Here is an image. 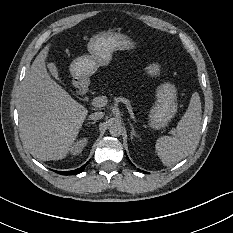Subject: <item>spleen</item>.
I'll return each mask as SVG.
<instances>
[{
	"label": "spleen",
	"mask_w": 233,
	"mask_h": 233,
	"mask_svg": "<svg viewBox=\"0 0 233 233\" xmlns=\"http://www.w3.org/2000/svg\"><path fill=\"white\" fill-rule=\"evenodd\" d=\"M201 101L198 92L192 93L188 107L177 123L176 135H162L157 139L156 150L167 166L185 158L200 141Z\"/></svg>",
	"instance_id": "obj_1"
}]
</instances>
